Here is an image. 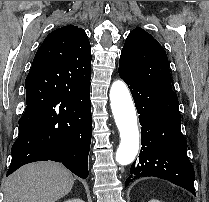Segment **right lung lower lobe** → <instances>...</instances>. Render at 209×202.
Wrapping results in <instances>:
<instances>
[{"instance_id":"obj_1","label":"right lung lower lobe","mask_w":209,"mask_h":202,"mask_svg":"<svg viewBox=\"0 0 209 202\" xmlns=\"http://www.w3.org/2000/svg\"><path fill=\"white\" fill-rule=\"evenodd\" d=\"M25 88L26 109L7 175L27 163L51 160L86 179L92 136L90 83H65L32 65Z\"/></svg>"}]
</instances>
